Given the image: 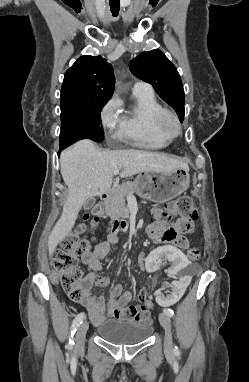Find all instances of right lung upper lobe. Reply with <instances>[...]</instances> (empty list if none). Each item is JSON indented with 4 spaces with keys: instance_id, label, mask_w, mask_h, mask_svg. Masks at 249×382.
<instances>
[{
    "instance_id": "right-lung-upper-lobe-1",
    "label": "right lung upper lobe",
    "mask_w": 249,
    "mask_h": 382,
    "mask_svg": "<svg viewBox=\"0 0 249 382\" xmlns=\"http://www.w3.org/2000/svg\"><path fill=\"white\" fill-rule=\"evenodd\" d=\"M114 91L112 66L101 56H81L65 73L61 108L97 99H110Z\"/></svg>"
}]
</instances>
